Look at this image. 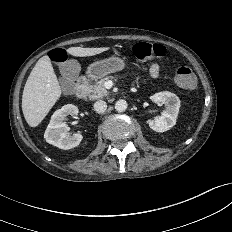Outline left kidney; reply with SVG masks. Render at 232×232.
<instances>
[{
    "label": "left kidney",
    "instance_id": "5707ae66",
    "mask_svg": "<svg viewBox=\"0 0 232 232\" xmlns=\"http://www.w3.org/2000/svg\"><path fill=\"white\" fill-rule=\"evenodd\" d=\"M150 99L154 103L164 104L165 111L160 117L150 120L149 127L156 132H165L171 129L176 124L181 103L179 97L169 91H163L155 93Z\"/></svg>",
    "mask_w": 232,
    "mask_h": 232
}]
</instances>
